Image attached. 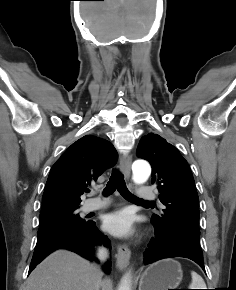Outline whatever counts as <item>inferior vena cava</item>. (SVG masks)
<instances>
[{
  "label": "inferior vena cava",
  "instance_id": "obj_1",
  "mask_svg": "<svg viewBox=\"0 0 236 290\" xmlns=\"http://www.w3.org/2000/svg\"><path fill=\"white\" fill-rule=\"evenodd\" d=\"M97 257L100 259L101 262L106 261L108 259V257H109L108 250L106 248H103V247L99 248L98 253H97ZM99 274L101 275L100 272H99Z\"/></svg>",
  "mask_w": 236,
  "mask_h": 290
}]
</instances>
